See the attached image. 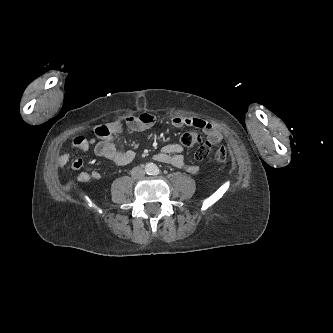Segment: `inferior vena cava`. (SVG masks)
Wrapping results in <instances>:
<instances>
[{"mask_svg": "<svg viewBox=\"0 0 333 333\" xmlns=\"http://www.w3.org/2000/svg\"><path fill=\"white\" fill-rule=\"evenodd\" d=\"M131 176L134 179H141L145 176V170L142 167H134L131 171Z\"/></svg>", "mask_w": 333, "mask_h": 333, "instance_id": "obj_1", "label": "inferior vena cava"}]
</instances>
